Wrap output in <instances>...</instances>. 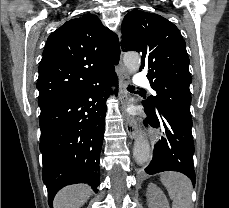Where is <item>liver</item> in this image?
<instances>
[{"mask_svg":"<svg viewBox=\"0 0 229 208\" xmlns=\"http://www.w3.org/2000/svg\"><path fill=\"white\" fill-rule=\"evenodd\" d=\"M91 188L86 184L67 186L56 194L53 200V208H81L91 196Z\"/></svg>","mask_w":229,"mask_h":208,"instance_id":"6515ba94","label":"liver"}]
</instances>
